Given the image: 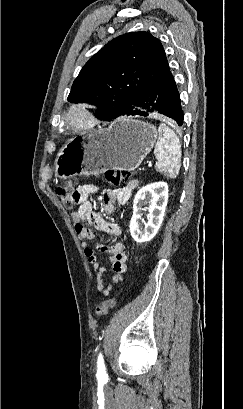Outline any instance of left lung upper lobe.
<instances>
[{"label":"left lung upper lobe","mask_w":243,"mask_h":409,"mask_svg":"<svg viewBox=\"0 0 243 409\" xmlns=\"http://www.w3.org/2000/svg\"><path fill=\"white\" fill-rule=\"evenodd\" d=\"M169 72L157 38L148 32L126 33L108 42L84 65L68 100L99 106L101 119L114 116Z\"/></svg>","instance_id":"5c2ea615"}]
</instances>
